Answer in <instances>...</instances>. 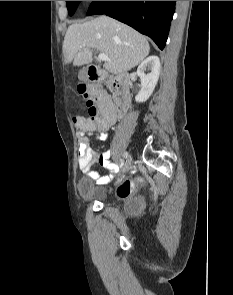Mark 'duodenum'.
I'll return each instance as SVG.
<instances>
[{"label":"duodenum","instance_id":"obj_1","mask_svg":"<svg viewBox=\"0 0 233 295\" xmlns=\"http://www.w3.org/2000/svg\"><path fill=\"white\" fill-rule=\"evenodd\" d=\"M107 73L97 67L91 66L87 69L86 77L91 82L104 79ZM113 91L115 96V105L119 114H124L130 106V93L128 89V78L125 74L115 77L113 82Z\"/></svg>","mask_w":233,"mask_h":295}]
</instances>
